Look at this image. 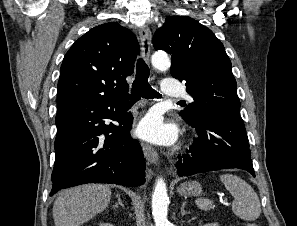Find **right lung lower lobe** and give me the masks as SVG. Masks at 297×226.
<instances>
[{"mask_svg": "<svg viewBox=\"0 0 297 226\" xmlns=\"http://www.w3.org/2000/svg\"><path fill=\"white\" fill-rule=\"evenodd\" d=\"M126 100L104 97L58 108L51 196L86 183L135 187L145 182L142 149L129 135L133 116L124 111ZM106 119L120 126L106 125Z\"/></svg>", "mask_w": 297, "mask_h": 226, "instance_id": "obj_1", "label": "right lung lower lobe"}]
</instances>
